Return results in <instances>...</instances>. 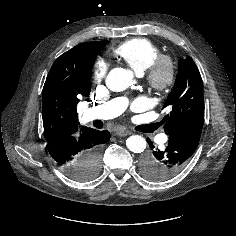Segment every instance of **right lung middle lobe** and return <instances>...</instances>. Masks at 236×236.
<instances>
[{
    "mask_svg": "<svg viewBox=\"0 0 236 236\" xmlns=\"http://www.w3.org/2000/svg\"><path fill=\"white\" fill-rule=\"evenodd\" d=\"M100 167H101L100 153L99 155L94 153L89 154L82 165L81 174L79 177H77V179L89 180L94 178L99 173ZM73 177H75V175H73Z\"/></svg>",
    "mask_w": 236,
    "mask_h": 236,
    "instance_id": "right-lung-middle-lobe-1",
    "label": "right lung middle lobe"
}]
</instances>
